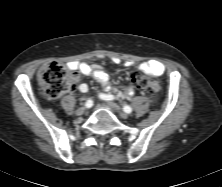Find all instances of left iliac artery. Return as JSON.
Listing matches in <instances>:
<instances>
[{"label": "left iliac artery", "mask_w": 222, "mask_h": 187, "mask_svg": "<svg viewBox=\"0 0 222 187\" xmlns=\"http://www.w3.org/2000/svg\"><path fill=\"white\" fill-rule=\"evenodd\" d=\"M101 98L104 99V100H113L114 99V96L113 95H101ZM123 110L126 112V113H131L132 112V108L129 106V105H125L123 107Z\"/></svg>", "instance_id": "left-iliac-artery-1"}]
</instances>
